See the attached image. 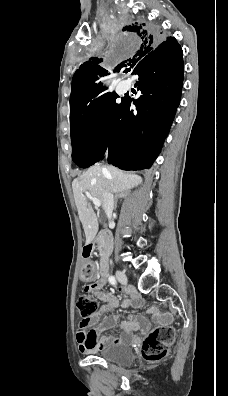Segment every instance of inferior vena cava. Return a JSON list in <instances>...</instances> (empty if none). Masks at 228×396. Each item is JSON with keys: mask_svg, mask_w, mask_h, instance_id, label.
Masks as SVG:
<instances>
[{"mask_svg": "<svg viewBox=\"0 0 228 396\" xmlns=\"http://www.w3.org/2000/svg\"><path fill=\"white\" fill-rule=\"evenodd\" d=\"M103 197H104V206L103 207H104L105 213H106L108 219H111L112 212L114 209L113 194L110 191L106 190L103 194Z\"/></svg>", "mask_w": 228, "mask_h": 396, "instance_id": "602c4592", "label": "inferior vena cava"}]
</instances>
